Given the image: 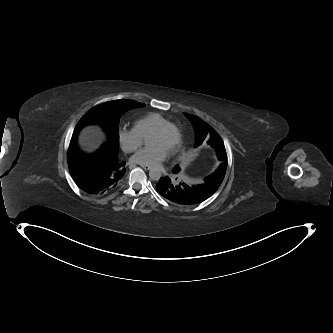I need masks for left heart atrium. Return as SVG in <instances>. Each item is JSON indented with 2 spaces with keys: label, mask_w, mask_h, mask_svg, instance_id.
Segmentation results:
<instances>
[{
  "label": "left heart atrium",
  "mask_w": 333,
  "mask_h": 333,
  "mask_svg": "<svg viewBox=\"0 0 333 333\" xmlns=\"http://www.w3.org/2000/svg\"><path fill=\"white\" fill-rule=\"evenodd\" d=\"M166 154V150L155 145H148L135 153L131 157V161L141 165L156 166L165 158Z\"/></svg>",
  "instance_id": "obj_1"
}]
</instances>
